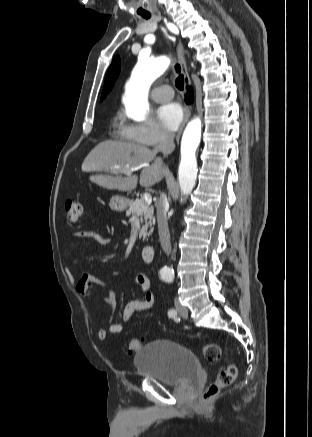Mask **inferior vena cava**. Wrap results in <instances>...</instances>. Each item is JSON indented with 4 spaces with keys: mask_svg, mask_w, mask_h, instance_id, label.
Returning a JSON list of instances; mask_svg holds the SVG:
<instances>
[{
    "mask_svg": "<svg viewBox=\"0 0 312 437\" xmlns=\"http://www.w3.org/2000/svg\"><path fill=\"white\" fill-rule=\"evenodd\" d=\"M175 148L174 134L168 131L162 132V137L159 144L154 149L155 152H162L164 154L171 153ZM169 207L167 197L164 193H161L157 204V224L158 234L161 247L163 251L169 255L171 252L170 232L167 222V209Z\"/></svg>",
    "mask_w": 312,
    "mask_h": 437,
    "instance_id": "inferior-vena-cava-1",
    "label": "inferior vena cava"
}]
</instances>
